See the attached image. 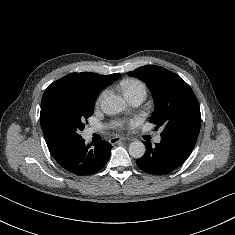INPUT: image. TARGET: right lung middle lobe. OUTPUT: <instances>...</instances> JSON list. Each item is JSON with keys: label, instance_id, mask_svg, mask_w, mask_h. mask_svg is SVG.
Here are the masks:
<instances>
[{"label": "right lung middle lobe", "instance_id": "dd1d6c3e", "mask_svg": "<svg viewBox=\"0 0 235 235\" xmlns=\"http://www.w3.org/2000/svg\"><path fill=\"white\" fill-rule=\"evenodd\" d=\"M98 93L84 89H68L54 93L46 101L40 115L44 134L55 145H66L80 138L84 121L93 114Z\"/></svg>", "mask_w": 235, "mask_h": 235}]
</instances>
